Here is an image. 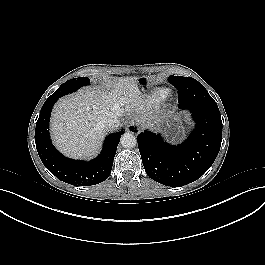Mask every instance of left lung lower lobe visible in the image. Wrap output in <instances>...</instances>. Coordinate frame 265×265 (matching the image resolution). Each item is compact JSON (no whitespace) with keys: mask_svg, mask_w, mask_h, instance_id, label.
Listing matches in <instances>:
<instances>
[{"mask_svg":"<svg viewBox=\"0 0 265 265\" xmlns=\"http://www.w3.org/2000/svg\"><path fill=\"white\" fill-rule=\"evenodd\" d=\"M180 109H188L196 128L180 145H169L161 136L145 130L138 147L147 175L166 186L181 187L200 178L213 164L222 141V121L215 101L196 80L174 85Z\"/></svg>","mask_w":265,"mask_h":265,"instance_id":"1","label":"left lung lower lobe"}]
</instances>
